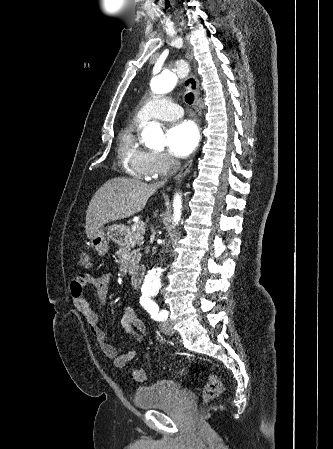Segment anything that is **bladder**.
Returning a JSON list of instances; mask_svg holds the SVG:
<instances>
[{
    "label": "bladder",
    "instance_id": "31cf9c89",
    "mask_svg": "<svg viewBox=\"0 0 333 449\" xmlns=\"http://www.w3.org/2000/svg\"><path fill=\"white\" fill-rule=\"evenodd\" d=\"M182 392L180 383L161 380L149 386L139 387L134 394V404L143 410L159 409L173 405Z\"/></svg>",
    "mask_w": 333,
    "mask_h": 449
}]
</instances>
